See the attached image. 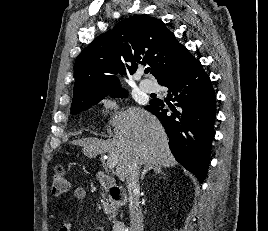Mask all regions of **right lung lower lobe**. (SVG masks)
I'll return each mask as SVG.
<instances>
[{
	"mask_svg": "<svg viewBox=\"0 0 268 231\" xmlns=\"http://www.w3.org/2000/svg\"><path fill=\"white\" fill-rule=\"evenodd\" d=\"M167 87L174 104L153 99L145 109L159 118L170 138L176 160L202 183L206 177L214 138L216 99L211 80L199 60L158 82Z\"/></svg>",
	"mask_w": 268,
	"mask_h": 231,
	"instance_id": "1",
	"label": "right lung lower lobe"
}]
</instances>
